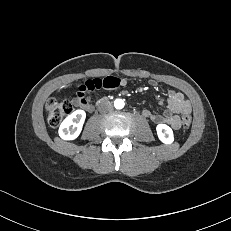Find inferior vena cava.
<instances>
[{
  "label": "inferior vena cava",
  "mask_w": 231,
  "mask_h": 231,
  "mask_svg": "<svg viewBox=\"0 0 231 231\" xmlns=\"http://www.w3.org/2000/svg\"><path fill=\"white\" fill-rule=\"evenodd\" d=\"M112 103L107 100H103L98 105V110L102 113H106L112 110Z\"/></svg>",
  "instance_id": "1"
}]
</instances>
